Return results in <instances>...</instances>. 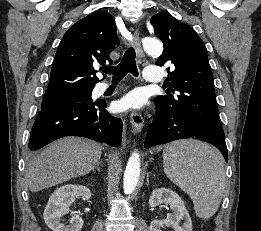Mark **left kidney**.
I'll list each match as a JSON object with an SVG mask.
<instances>
[{
	"instance_id": "5707ae66",
	"label": "left kidney",
	"mask_w": 261,
	"mask_h": 231,
	"mask_svg": "<svg viewBox=\"0 0 261 231\" xmlns=\"http://www.w3.org/2000/svg\"><path fill=\"white\" fill-rule=\"evenodd\" d=\"M161 203H167L172 209V213L167 214L165 220L154 219L149 227L150 231H162L164 226L172 228L174 231H192V221L189 213L186 210L184 202L179 195L167 188H159L153 190L150 199L149 206L154 208ZM183 220L182 226L179 222Z\"/></svg>"
}]
</instances>
